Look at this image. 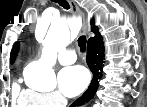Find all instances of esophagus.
I'll use <instances>...</instances> for the list:
<instances>
[{
  "label": "esophagus",
  "instance_id": "34e87169",
  "mask_svg": "<svg viewBox=\"0 0 147 107\" xmlns=\"http://www.w3.org/2000/svg\"><path fill=\"white\" fill-rule=\"evenodd\" d=\"M73 14L82 22V30L85 34L89 31V21L84 17L83 13L78 8L76 2L74 0H67Z\"/></svg>",
  "mask_w": 147,
  "mask_h": 107
}]
</instances>
